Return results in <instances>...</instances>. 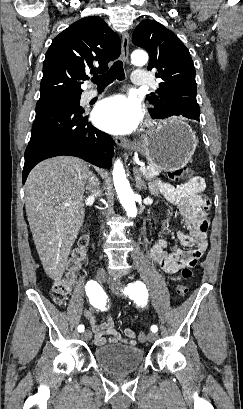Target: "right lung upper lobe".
I'll return each instance as SVG.
<instances>
[{
  "label": "right lung upper lobe",
  "instance_id": "1",
  "mask_svg": "<svg viewBox=\"0 0 243 409\" xmlns=\"http://www.w3.org/2000/svg\"><path fill=\"white\" fill-rule=\"evenodd\" d=\"M121 41L116 33L97 16L85 17L57 35L43 63L40 99L80 96V80L87 73L105 72L108 62L116 59Z\"/></svg>",
  "mask_w": 243,
  "mask_h": 409
}]
</instances>
